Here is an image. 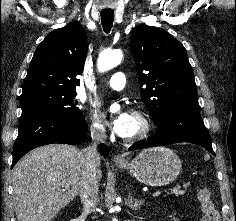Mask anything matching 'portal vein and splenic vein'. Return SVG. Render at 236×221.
<instances>
[{
	"label": "portal vein and splenic vein",
	"mask_w": 236,
	"mask_h": 221,
	"mask_svg": "<svg viewBox=\"0 0 236 221\" xmlns=\"http://www.w3.org/2000/svg\"><path fill=\"white\" fill-rule=\"evenodd\" d=\"M64 188H69V186L66 185V186H64ZM161 192H162V191L158 190V191L154 192V193L152 194V196H153V197H157V196H159V195L161 194Z\"/></svg>",
	"instance_id": "obj_1"
}]
</instances>
